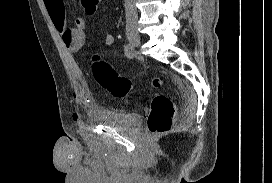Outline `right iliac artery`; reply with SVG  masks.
<instances>
[{"mask_svg": "<svg viewBox=\"0 0 272 183\" xmlns=\"http://www.w3.org/2000/svg\"><path fill=\"white\" fill-rule=\"evenodd\" d=\"M124 52L129 59H132L135 56V50L130 44L125 45Z\"/></svg>", "mask_w": 272, "mask_h": 183, "instance_id": "right-iliac-artery-1", "label": "right iliac artery"}]
</instances>
